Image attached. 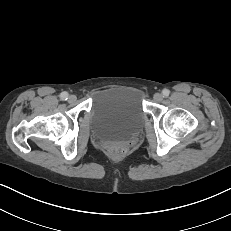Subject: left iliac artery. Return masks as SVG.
<instances>
[{"label":"left iliac artery","instance_id":"obj_1","mask_svg":"<svg viewBox=\"0 0 231 231\" xmlns=\"http://www.w3.org/2000/svg\"><path fill=\"white\" fill-rule=\"evenodd\" d=\"M169 94H170V91L168 89H163V91H162L163 97H168Z\"/></svg>","mask_w":231,"mask_h":231}]
</instances>
